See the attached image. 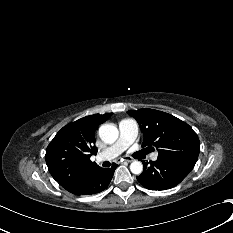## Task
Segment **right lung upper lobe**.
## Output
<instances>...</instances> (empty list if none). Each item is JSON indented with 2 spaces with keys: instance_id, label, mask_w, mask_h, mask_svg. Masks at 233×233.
I'll return each instance as SVG.
<instances>
[{
  "instance_id": "right-lung-upper-lobe-1",
  "label": "right lung upper lobe",
  "mask_w": 233,
  "mask_h": 233,
  "mask_svg": "<svg viewBox=\"0 0 233 233\" xmlns=\"http://www.w3.org/2000/svg\"><path fill=\"white\" fill-rule=\"evenodd\" d=\"M113 113L94 114L64 126L46 149V164L53 178L76 194L88 176L99 166L90 160L97 153L95 131Z\"/></svg>"
}]
</instances>
